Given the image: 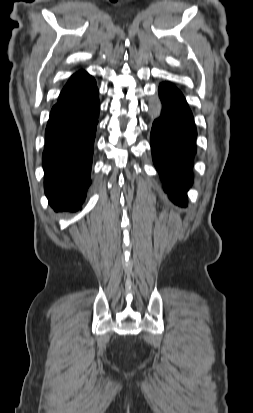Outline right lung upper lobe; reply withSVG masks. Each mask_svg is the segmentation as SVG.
<instances>
[{
    "label": "right lung upper lobe",
    "mask_w": 253,
    "mask_h": 413,
    "mask_svg": "<svg viewBox=\"0 0 253 413\" xmlns=\"http://www.w3.org/2000/svg\"><path fill=\"white\" fill-rule=\"evenodd\" d=\"M95 84V80L87 72L81 70L71 76L67 84L64 86L58 101L71 98L80 92L90 88Z\"/></svg>",
    "instance_id": "cb5924a9"
}]
</instances>
